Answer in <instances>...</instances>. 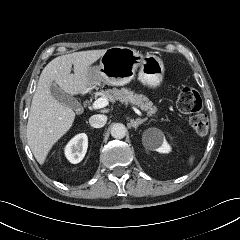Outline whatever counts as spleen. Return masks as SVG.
<instances>
[{"mask_svg":"<svg viewBox=\"0 0 240 240\" xmlns=\"http://www.w3.org/2000/svg\"><path fill=\"white\" fill-rule=\"evenodd\" d=\"M189 164H192L193 163V161H194V156H191V157H189Z\"/></svg>","mask_w":240,"mask_h":240,"instance_id":"spleen-1","label":"spleen"}]
</instances>
